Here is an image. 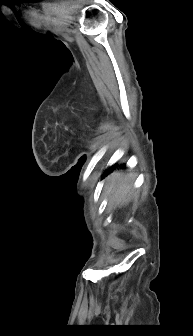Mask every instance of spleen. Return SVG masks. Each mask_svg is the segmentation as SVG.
Segmentation results:
<instances>
[{
    "label": "spleen",
    "instance_id": "1",
    "mask_svg": "<svg viewBox=\"0 0 193 336\" xmlns=\"http://www.w3.org/2000/svg\"><path fill=\"white\" fill-rule=\"evenodd\" d=\"M133 184V177L126 176L123 179H119L118 175L111 178L108 185V192L113 189L111 201L117 206H123L132 196L131 186Z\"/></svg>",
    "mask_w": 193,
    "mask_h": 336
}]
</instances>
